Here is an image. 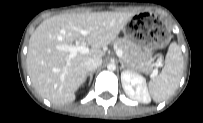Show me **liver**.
Segmentation results:
<instances>
[{
  "label": "liver",
  "instance_id": "1",
  "mask_svg": "<svg viewBox=\"0 0 203 123\" xmlns=\"http://www.w3.org/2000/svg\"><path fill=\"white\" fill-rule=\"evenodd\" d=\"M135 12H95L62 14L44 20L30 37L27 71L37 93L55 105L75 100V92L84 83V61L102 58L103 50L116 40ZM81 30L88 31L82 35ZM88 44V53L69 59V52L58 45Z\"/></svg>",
  "mask_w": 203,
  "mask_h": 123
}]
</instances>
